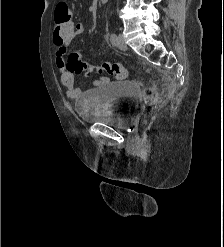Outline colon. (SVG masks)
<instances>
[{
    "mask_svg": "<svg viewBox=\"0 0 224 247\" xmlns=\"http://www.w3.org/2000/svg\"><path fill=\"white\" fill-rule=\"evenodd\" d=\"M54 34L60 38L72 39L74 37V22L72 20L71 11L65 2H60L55 8L54 14ZM67 67L69 71L80 74L86 72L103 74L107 73L114 75L118 79H125L127 77L126 69L117 63H103L99 66L88 65L81 59L79 53L75 52L70 55ZM142 96L147 104L156 102L157 93L152 87L146 86L142 90Z\"/></svg>",
    "mask_w": 224,
    "mask_h": 247,
    "instance_id": "colon-1",
    "label": "colon"
}]
</instances>
